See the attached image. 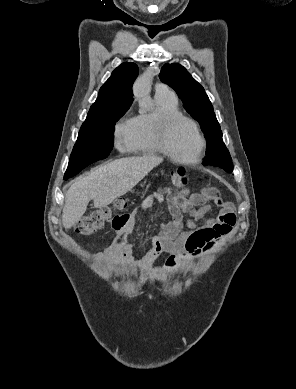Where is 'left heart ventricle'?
Returning <instances> with one entry per match:
<instances>
[{
  "label": "left heart ventricle",
  "instance_id": "obj_1",
  "mask_svg": "<svg viewBox=\"0 0 296 389\" xmlns=\"http://www.w3.org/2000/svg\"><path fill=\"white\" fill-rule=\"evenodd\" d=\"M170 148L172 152L182 159H193L199 149V139L194 127L186 122L176 123L170 134Z\"/></svg>",
  "mask_w": 296,
  "mask_h": 389
}]
</instances>
